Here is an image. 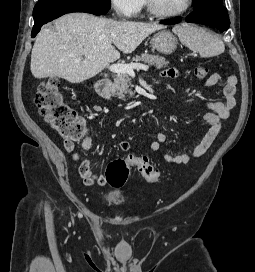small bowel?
I'll return each instance as SVG.
<instances>
[{
    "mask_svg": "<svg viewBox=\"0 0 255 272\" xmlns=\"http://www.w3.org/2000/svg\"><path fill=\"white\" fill-rule=\"evenodd\" d=\"M180 73L175 69H168L161 73L163 78H178ZM222 81V76L219 73L211 74L206 82V87H212ZM238 78L235 74H231L227 77L225 85L223 87L224 102L213 101L208 103L210 112L204 115V120L208 124V130L202 138L201 142L196 146L191 154H179L169 155L165 154V161L173 164H186L193 158L202 156L212 145L213 141L220 132L222 121L228 119L231 115V111L236 106V84ZM111 120V119H110ZM166 141V135L163 132H159L156 138L150 144L151 151H158L162 144ZM122 151H129L131 148L130 142L122 140L119 144ZM93 147V138L91 134H88L82 142V149L85 151L91 150ZM65 149L70 153L75 161V168L81 175L83 183L87 186L99 185L104 186L107 183L106 176L91 169V164L88 160L83 159L81 155L75 151L73 145H65Z\"/></svg>",
    "mask_w": 255,
    "mask_h": 272,
    "instance_id": "1",
    "label": "small bowel"
}]
</instances>
